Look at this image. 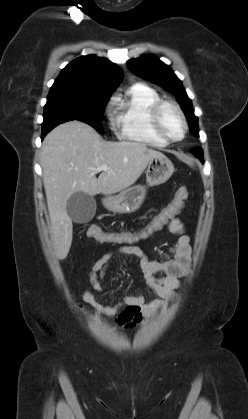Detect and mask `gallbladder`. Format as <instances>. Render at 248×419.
Instances as JSON below:
<instances>
[{
    "label": "gallbladder",
    "instance_id": "gallbladder-1",
    "mask_svg": "<svg viewBox=\"0 0 248 419\" xmlns=\"http://www.w3.org/2000/svg\"><path fill=\"white\" fill-rule=\"evenodd\" d=\"M96 207L93 196L84 192H76L69 198L66 210L73 222L83 224L94 217Z\"/></svg>",
    "mask_w": 248,
    "mask_h": 419
}]
</instances>
